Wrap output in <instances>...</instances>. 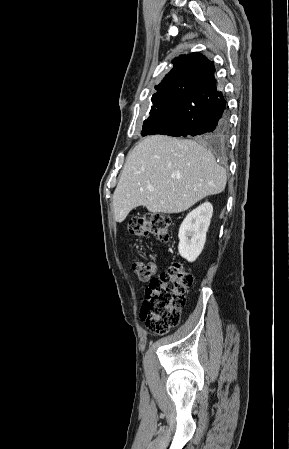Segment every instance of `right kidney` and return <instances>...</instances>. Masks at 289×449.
<instances>
[{
	"mask_svg": "<svg viewBox=\"0 0 289 449\" xmlns=\"http://www.w3.org/2000/svg\"><path fill=\"white\" fill-rule=\"evenodd\" d=\"M213 214V206L205 202L192 210L179 228V254L189 262H194L201 254Z\"/></svg>",
	"mask_w": 289,
	"mask_h": 449,
	"instance_id": "1",
	"label": "right kidney"
}]
</instances>
